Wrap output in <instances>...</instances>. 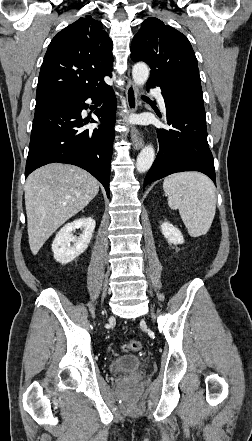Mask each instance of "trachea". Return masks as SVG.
<instances>
[{
  "label": "trachea",
  "instance_id": "3493384b",
  "mask_svg": "<svg viewBox=\"0 0 252 441\" xmlns=\"http://www.w3.org/2000/svg\"><path fill=\"white\" fill-rule=\"evenodd\" d=\"M144 99H147V97L143 96Z\"/></svg>",
  "mask_w": 252,
  "mask_h": 441
}]
</instances>
